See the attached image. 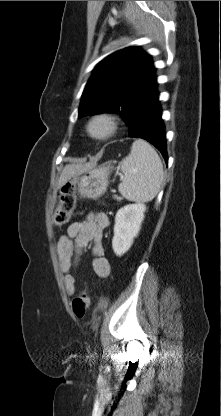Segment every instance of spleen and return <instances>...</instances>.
Returning <instances> with one entry per match:
<instances>
[{"label":"spleen","instance_id":"1","mask_svg":"<svg viewBox=\"0 0 221 416\" xmlns=\"http://www.w3.org/2000/svg\"><path fill=\"white\" fill-rule=\"evenodd\" d=\"M124 174L118 191L129 201L148 202L159 192L164 179L163 165L155 149L146 141L133 142L130 154L123 160Z\"/></svg>","mask_w":221,"mask_h":416}]
</instances>
